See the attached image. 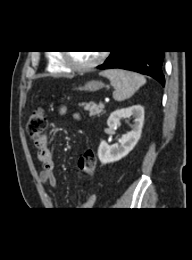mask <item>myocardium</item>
Segmentation results:
<instances>
[{"label":"myocardium","instance_id":"obj_1","mask_svg":"<svg viewBox=\"0 0 192 260\" xmlns=\"http://www.w3.org/2000/svg\"><path fill=\"white\" fill-rule=\"evenodd\" d=\"M61 60L63 64L70 70L76 72H86L96 68L104 61V54H100L94 61L86 65H78L72 62L68 52L64 51L61 53Z\"/></svg>","mask_w":192,"mask_h":260}]
</instances>
